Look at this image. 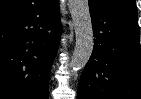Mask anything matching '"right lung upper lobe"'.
Instances as JSON below:
<instances>
[{"instance_id":"1","label":"right lung upper lobe","mask_w":141,"mask_h":99,"mask_svg":"<svg viewBox=\"0 0 141 99\" xmlns=\"http://www.w3.org/2000/svg\"><path fill=\"white\" fill-rule=\"evenodd\" d=\"M28 1L29 0H0V14L19 7Z\"/></svg>"}]
</instances>
